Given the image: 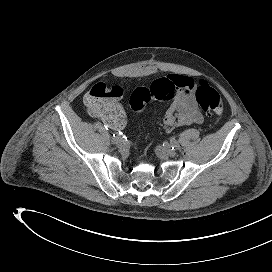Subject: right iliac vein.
<instances>
[{"label":"right iliac vein","instance_id":"obj_1","mask_svg":"<svg viewBox=\"0 0 272 272\" xmlns=\"http://www.w3.org/2000/svg\"><path fill=\"white\" fill-rule=\"evenodd\" d=\"M116 145L118 148H124L126 146V141L123 138H121L117 141Z\"/></svg>","mask_w":272,"mask_h":272}]
</instances>
